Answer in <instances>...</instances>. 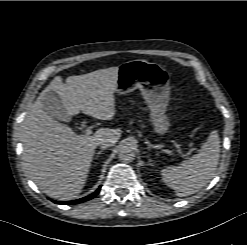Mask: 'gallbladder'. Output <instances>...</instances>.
<instances>
[{
    "label": "gallbladder",
    "instance_id": "gallbladder-1",
    "mask_svg": "<svg viewBox=\"0 0 247 245\" xmlns=\"http://www.w3.org/2000/svg\"><path fill=\"white\" fill-rule=\"evenodd\" d=\"M43 110L53 119L67 121L68 113L65 111L58 95L52 91L46 92L42 98Z\"/></svg>",
    "mask_w": 247,
    "mask_h": 245
}]
</instances>
